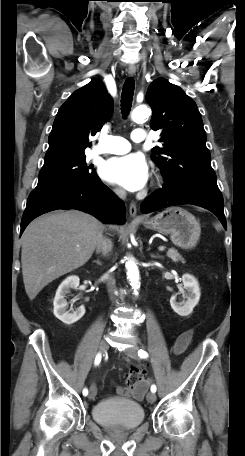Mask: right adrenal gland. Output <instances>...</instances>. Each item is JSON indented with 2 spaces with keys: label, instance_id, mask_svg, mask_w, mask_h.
I'll list each match as a JSON object with an SVG mask.
<instances>
[{
  "label": "right adrenal gland",
  "instance_id": "obj_1",
  "mask_svg": "<svg viewBox=\"0 0 245 456\" xmlns=\"http://www.w3.org/2000/svg\"><path fill=\"white\" fill-rule=\"evenodd\" d=\"M95 262H96L97 264H100V261H99V260H97V261H95Z\"/></svg>",
  "mask_w": 245,
  "mask_h": 456
}]
</instances>
